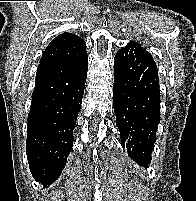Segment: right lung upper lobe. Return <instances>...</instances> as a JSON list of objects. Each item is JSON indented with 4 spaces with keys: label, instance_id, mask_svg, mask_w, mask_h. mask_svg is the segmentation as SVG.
Masks as SVG:
<instances>
[{
    "label": "right lung upper lobe",
    "instance_id": "right-lung-upper-lobe-1",
    "mask_svg": "<svg viewBox=\"0 0 196 201\" xmlns=\"http://www.w3.org/2000/svg\"><path fill=\"white\" fill-rule=\"evenodd\" d=\"M85 41L75 34L65 32L52 40L40 59V64L64 62L80 63L88 58Z\"/></svg>",
    "mask_w": 196,
    "mask_h": 201
}]
</instances>
